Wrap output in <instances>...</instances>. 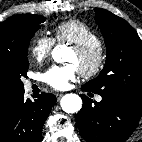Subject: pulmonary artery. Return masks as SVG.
<instances>
[{
	"label": "pulmonary artery",
	"mask_w": 142,
	"mask_h": 142,
	"mask_svg": "<svg viewBox=\"0 0 142 142\" xmlns=\"http://www.w3.org/2000/svg\"><path fill=\"white\" fill-rule=\"evenodd\" d=\"M27 86L29 87V84H27ZM102 98L100 96L97 97V101H101Z\"/></svg>",
	"instance_id": "1"
}]
</instances>
